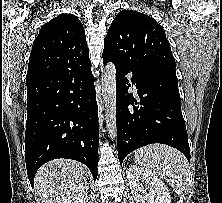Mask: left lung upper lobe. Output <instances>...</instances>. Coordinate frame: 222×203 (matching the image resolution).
I'll use <instances>...</instances> for the list:
<instances>
[{
    "label": "left lung upper lobe",
    "instance_id": "1",
    "mask_svg": "<svg viewBox=\"0 0 222 203\" xmlns=\"http://www.w3.org/2000/svg\"><path fill=\"white\" fill-rule=\"evenodd\" d=\"M103 56L141 72H161L176 77L175 59L164 29L151 17L122 10L104 40Z\"/></svg>",
    "mask_w": 222,
    "mask_h": 203
}]
</instances>
